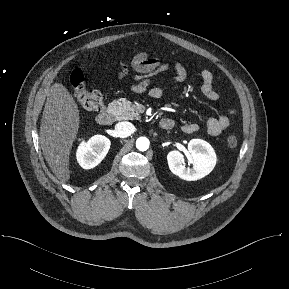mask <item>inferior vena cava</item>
<instances>
[{
  "label": "inferior vena cava",
  "instance_id": "obj_1",
  "mask_svg": "<svg viewBox=\"0 0 289 289\" xmlns=\"http://www.w3.org/2000/svg\"><path fill=\"white\" fill-rule=\"evenodd\" d=\"M115 131L118 137L125 138L134 132V126L130 122H119L115 125Z\"/></svg>",
  "mask_w": 289,
  "mask_h": 289
}]
</instances>
